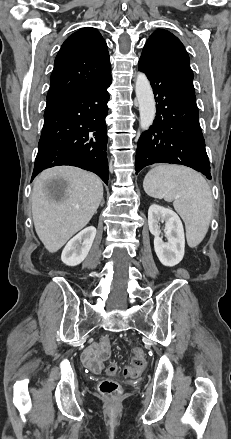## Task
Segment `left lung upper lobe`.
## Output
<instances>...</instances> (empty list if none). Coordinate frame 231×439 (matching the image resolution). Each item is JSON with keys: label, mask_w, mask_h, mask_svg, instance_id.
I'll return each mask as SVG.
<instances>
[{"label": "left lung upper lobe", "mask_w": 231, "mask_h": 439, "mask_svg": "<svg viewBox=\"0 0 231 439\" xmlns=\"http://www.w3.org/2000/svg\"><path fill=\"white\" fill-rule=\"evenodd\" d=\"M144 52L154 56L194 90L189 56L181 41L166 30H156L146 42Z\"/></svg>", "instance_id": "obj_1"}]
</instances>
